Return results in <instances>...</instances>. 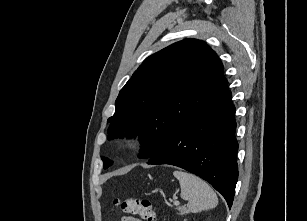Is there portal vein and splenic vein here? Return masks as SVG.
I'll list each match as a JSON object with an SVG mask.
<instances>
[{
    "mask_svg": "<svg viewBox=\"0 0 307 221\" xmlns=\"http://www.w3.org/2000/svg\"><path fill=\"white\" fill-rule=\"evenodd\" d=\"M179 204H180L179 201H174L175 206H178Z\"/></svg>",
    "mask_w": 307,
    "mask_h": 221,
    "instance_id": "portal-vein-and-splenic-vein-1",
    "label": "portal vein and splenic vein"
}]
</instances>
